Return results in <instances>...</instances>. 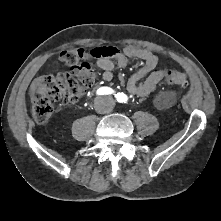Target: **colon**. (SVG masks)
Here are the masks:
<instances>
[{
  "mask_svg": "<svg viewBox=\"0 0 221 221\" xmlns=\"http://www.w3.org/2000/svg\"><path fill=\"white\" fill-rule=\"evenodd\" d=\"M112 54L110 47L95 49L74 48L63 51L61 60L68 67L65 72L40 76L34 80L29 91L32 115L36 123H46L53 112L54 102L73 103L95 82V73L88 59ZM164 81L168 85L187 84L183 72L166 70Z\"/></svg>",
  "mask_w": 221,
  "mask_h": 221,
  "instance_id": "obj_1",
  "label": "colon"
}]
</instances>
